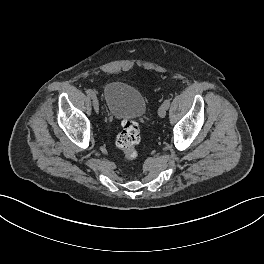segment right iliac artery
Wrapping results in <instances>:
<instances>
[{"label":"right iliac artery","mask_w":264,"mask_h":264,"mask_svg":"<svg viewBox=\"0 0 264 264\" xmlns=\"http://www.w3.org/2000/svg\"><path fill=\"white\" fill-rule=\"evenodd\" d=\"M87 94H88V96H90V97H94V96H96L95 93H94L92 90H90V89L87 90Z\"/></svg>","instance_id":"obj_1"}]
</instances>
